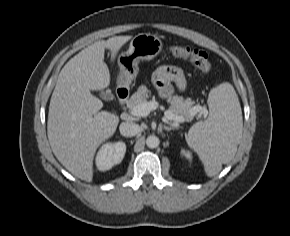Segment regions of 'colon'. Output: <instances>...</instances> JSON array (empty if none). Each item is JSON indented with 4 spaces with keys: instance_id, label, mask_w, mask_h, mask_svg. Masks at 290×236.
I'll return each instance as SVG.
<instances>
[{
    "instance_id": "5ec220e1",
    "label": "colon",
    "mask_w": 290,
    "mask_h": 236,
    "mask_svg": "<svg viewBox=\"0 0 290 236\" xmlns=\"http://www.w3.org/2000/svg\"><path fill=\"white\" fill-rule=\"evenodd\" d=\"M171 52L175 57L189 60L203 73L208 74L212 70V65L209 61V57L207 53L202 50L189 46L176 45L172 47Z\"/></svg>"
}]
</instances>
